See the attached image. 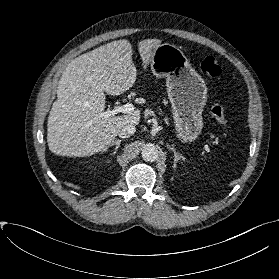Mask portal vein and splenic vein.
Listing matches in <instances>:
<instances>
[{"label":"portal vein and splenic vein","instance_id":"portal-vein-and-splenic-vein-1","mask_svg":"<svg viewBox=\"0 0 279 279\" xmlns=\"http://www.w3.org/2000/svg\"><path fill=\"white\" fill-rule=\"evenodd\" d=\"M135 107L132 103H126L124 105L121 106H115L113 110H108L106 112L103 113V116H115L118 113H132L134 112Z\"/></svg>","mask_w":279,"mask_h":279}]
</instances>
